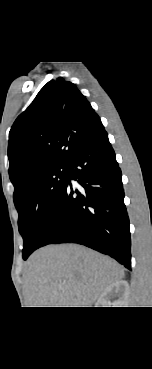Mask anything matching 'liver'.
Segmentation results:
<instances>
[{"label":"liver","mask_w":152,"mask_h":369,"mask_svg":"<svg viewBox=\"0 0 152 369\" xmlns=\"http://www.w3.org/2000/svg\"><path fill=\"white\" fill-rule=\"evenodd\" d=\"M23 277L29 307H92L124 270L83 246L50 245L31 255Z\"/></svg>","instance_id":"liver-1"}]
</instances>
